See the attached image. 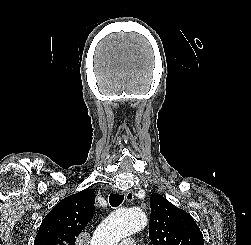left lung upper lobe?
I'll return each mask as SVG.
<instances>
[{
  "mask_svg": "<svg viewBox=\"0 0 251 245\" xmlns=\"http://www.w3.org/2000/svg\"><path fill=\"white\" fill-rule=\"evenodd\" d=\"M149 238L153 245H204L193 218L160 194L150 198Z\"/></svg>",
  "mask_w": 251,
  "mask_h": 245,
  "instance_id": "5c2ea615",
  "label": "left lung upper lobe"
}]
</instances>
